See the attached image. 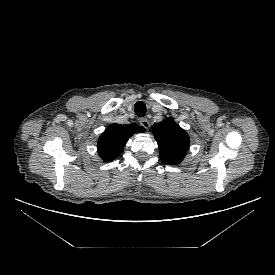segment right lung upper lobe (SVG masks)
I'll use <instances>...</instances> for the list:
<instances>
[{
	"label": "right lung upper lobe",
	"mask_w": 275,
	"mask_h": 275,
	"mask_svg": "<svg viewBox=\"0 0 275 275\" xmlns=\"http://www.w3.org/2000/svg\"><path fill=\"white\" fill-rule=\"evenodd\" d=\"M144 132L143 127L136 124H112L100 136L97 144L98 154L108 162L117 158L122 152L128 139L134 133Z\"/></svg>",
	"instance_id": "obj_1"
}]
</instances>
